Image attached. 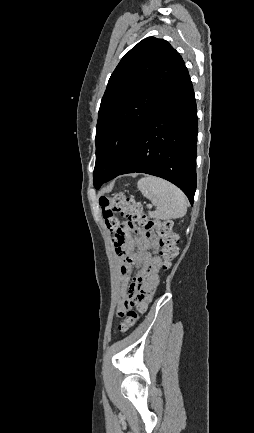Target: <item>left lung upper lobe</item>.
Masks as SVG:
<instances>
[{
  "label": "left lung upper lobe",
  "instance_id": "left-lung-upper-lobe-1",
  "mask_svg": "<svg viewBox=\"0 0 254 433\" xmlns=\"http://www.w3.org/2000/svg\"><path fill=\"white\" fill-rule=\"evenodd\" d=\"M184 66L163 40L148 37L134 46L112 73L98 113L93 183L99 188L121 165L136 138Z\"/></svg>",
  "mask_w": 254,
  "mask_h": 433
}]
</instances>
